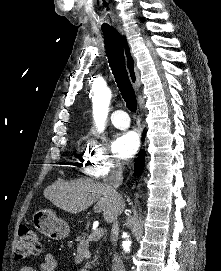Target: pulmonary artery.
<instances>
[{
	"label": "pulmonary artery",
	"instance_id": "1",
	"mask_svg": "<svg viewBox=\"0 0 221 271\" xmlns=\"http://www.w3.org/2000/svg\"><path fill=\"white\" fill-rule=\"evenodd\" d=\"M112 122L118 129H127L130 122V117H127V112H112Z\"/></svg>",
	"mask_w": 221,
	"mask_h": 271
}]
</instances>
